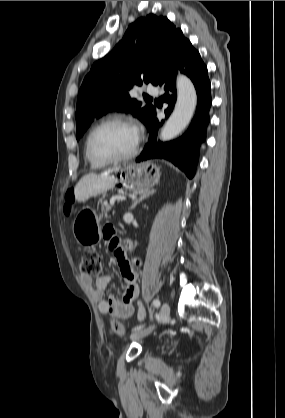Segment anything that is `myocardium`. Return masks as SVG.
Wrapping results in <instances>:
<instances>
[{
  "instance_id": "1",
  "label": "myocardium",
  "mask_w": 285,
  "mask_h": 418,
  "mask_svg": "<svg viewBox=\"0 0 285 418\" xmlns=\"http://www.w3.org/2000/svg\"><path fill=\"white\" fill-rule=\"evenodd\" d=\"M114 124L132 127L130 122L127 119L122 118V117H109L100 121L98 124H96L89 132L86 138V142H85V149H86L87 155L92 161L99 163V164L108 165V164H114V163H119V162L130 160L137 154L139 150V144H140L139 136L137 133H136V141H135L133 149L129 153L123 156L106 157V156H101L97 154L93 150L92 140L95 134L103 127H106L108 125H114Z\"/></svg>"
}]
</instances>
